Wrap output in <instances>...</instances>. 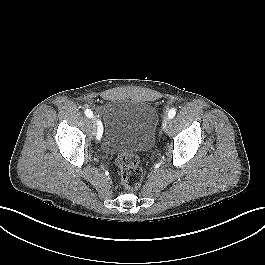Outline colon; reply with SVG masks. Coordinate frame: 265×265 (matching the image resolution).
<instances>
[{
	"label": "colon",
	"mask_w": 265,
	"mask_h": 265,
	"mask_svg": "<svg viewBox=\"0 0 265 265\" xmlns=\"http://www.w3.org/2000/svg\"><path fill=\"white\" fill-rule=\"evenodd\" d=\"M123 185L130 190L140 187L143 179V170L137 155L121 156L116 160Z\"/></svg>",
	"instance_id": "colon-1"
}]
</instances>
